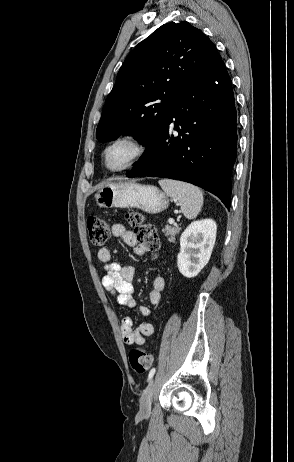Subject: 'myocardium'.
<instances>
[{
    "mask_svg": "<svg viewBox=\"0 0 294 462\" xmlns=\"http://www.w3.org/2000/svg\"><path fill=\"white\" fill-rule=\"evenodd\" d=\"M119 143H128L134 149L131 157L121 166L118 167H111L108 165L107 162V154L108 152L117 144ZM149 152V145L146 139L134 132H125L119 134L118 136L114 137L111 141H109L103 148L101 153V161L103 167L109 172H122L132 167L136 166L139 162H141Z\"/></svg>",
    "mask_w": 294,
    "mask_h": 462,
    "instance_id": "obj_1",
    "label": "myocardium"
}]
</instances>
